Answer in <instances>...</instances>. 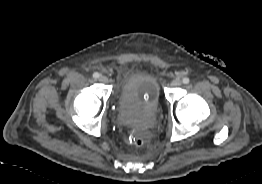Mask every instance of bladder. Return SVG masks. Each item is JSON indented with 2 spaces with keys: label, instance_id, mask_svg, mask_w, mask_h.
<instances>
[{
  "label": "bladder",
  "instance_id": "obj_1",
  "mask_svg": "<svg viewBox=\"0 0 262 184\" xmlns=\"http://www.w3.org/2000/svg\"><path fill=\"white\" fill-rule=\"evenodd\" d=\"M161 97V88L157 77L146 70H138L125 77L119 88V113L130 124L139 120L132 110V104L137 100L146 102L153 108H158Z\"/></svg>",
  "mask_w": 262,
  "mask_h": 184
}]
</instances>
